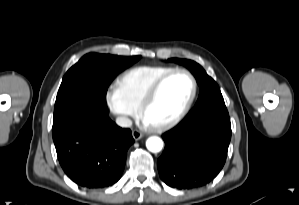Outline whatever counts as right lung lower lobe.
<instances>
[{
  "label": "right lung lower lobe",
  "mask_w": 299,
  "mask_h": 205,
  "mask_svg": "<svg viewBox=\"0 0 299 205\" xmlns=\"http://www.w3.org/2000/svg\"><path fill=\"white\" fill-rule=\"evenodd\" d=\"M52 136L61 167L78 185L90 189L115 184L134 143L130 129L118 127L106 106L81 104L53 120Z\"/></svg>",
  "instance_id": "1"
}]
</instances>
